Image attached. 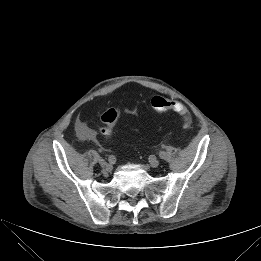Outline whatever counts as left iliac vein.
Listing matches in <instances>:
<instances>
[{
	"label": "left iliac vein",
	"instance_id": "1",
	"mask_svg": "<svg viewBox=\"0 0 261 261\" xmlns=\"http://www.w3.org/2000/svg\"><path fill=\"white\" fill-rule=\"evenodd\" d=\"M159 164H160L159 160L156 159V158H154V159H152V160L150 161V164H149V165H150L152 168H157V167L159 166Z\"/></svg>",
	"mask_w": 261,
	"mask_h": 261
}]
</instances>
